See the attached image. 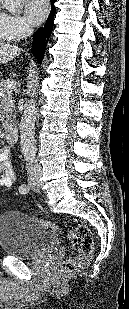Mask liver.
<instances>
[{
    "label": "liver",
    "mask_w": 129,
    "mask_h": 309,
    "mask_svg": "<svg viewBox=\"0 0 129 309\" xmlns=\"http://www.w3.org/2000/svg\"><path fill=\"white\" fill-rule=\"evenodd\" d=\"M22 49L10 43L0 42V64H7L19 56Z\"/></svg>",
    "instance_id": "1"
}]
</instances>
